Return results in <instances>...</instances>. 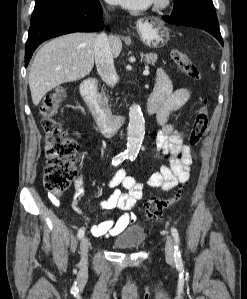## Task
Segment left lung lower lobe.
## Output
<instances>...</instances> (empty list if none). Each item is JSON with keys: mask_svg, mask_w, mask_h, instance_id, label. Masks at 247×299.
<instances>
[{"mask_svg": "<svg viewBox=\"0 0 247 299\" xmlns=\"http://www.w3.org/2000/svg\"><path fill=\"white\" fill-rule=\"evenodd\" d=\"M162 19L170 24L190 26L205 30L223 45L216 13L198 7H190L169 16H163Z\"/></svg>", "mask_w": 247, "mask_h": 299, "instance_id": "0a47b994", "label": "left lung lower lobe"}]
</instances>
